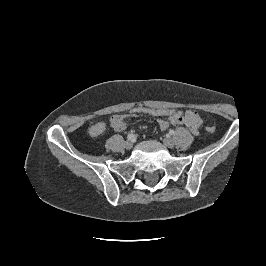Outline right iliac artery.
Wrapping results in <instances>:
<instances>
[{
  "label": "right iliac artery",
  "mask_w": 266,
  "mask_h": 266,
  "mask_svg": "<svg viewBox=\"0 0 266 266\" xmlns=\"http://www.w3.org/2000/svg\"><path fill=\"white\" fill-rule=\"evenodd\" d=\"M127 138L130 139V140H134V139H136V135L128 134Z\"/></svg>",
  "instance_id": "1"
}]
</instances>
